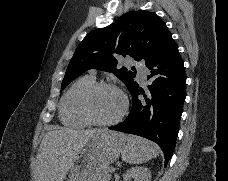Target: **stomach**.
I'll return each instance as SVG.
<instances>
[{"mask_svg":"<svg viewBox=\"0 0 228 181\" xmlns=\"http://www.w3.org/2000/svg\"><path fill=\"white\" fill-rule=\"evenodd\" d=\"M127 143L126 135L102 129L93 133L82 149L76 153L68 179L63 181H105L101 171L108 169Z\"/></svg>","mask_w":228,"mask_h":181,"instance_id":"obj_1","label":"stomach"}]
</instances>
